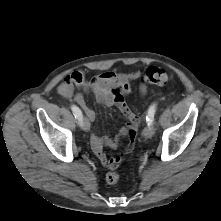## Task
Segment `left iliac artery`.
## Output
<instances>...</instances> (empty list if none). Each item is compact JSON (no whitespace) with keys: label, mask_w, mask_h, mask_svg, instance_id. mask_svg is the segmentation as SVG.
Returning <instances> with one entry per match:
<instances>
[{"label":"left iliac artery","mask_w":221,"mask_h":221,"mask_svg":"<svg viewBox=\"0 0 221 221\" xmlns=\"http://www.w3.org/2000/svg\"><path fill=\"white\" fill-rule=\"evenodd\" d=\"M155 112H156V104H153L149 107L148 113L146 116V121L148 125H151L153 123Z\"/></svg>","instance_id":"44dca946"}]
</instances>
